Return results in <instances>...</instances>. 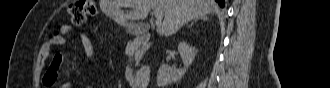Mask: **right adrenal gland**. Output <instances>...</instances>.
<instances>
[{"label": "right adrenal gland", "instance_id": "2a0ac1e0", "mask_svg": "<svg viewBox=\"0 0 330 88\" xmlns=\"http://www.w3.org/2000/svg\"><path fill=\"white\" fill-rule=\"evenodd\" d=\"M198 20H203V21H207L208 20V17L206 16H203V17H199V18H196L194 19L191 24L188 26V27H191L193 25L194 22L198 21Z\"/></svg>", "mask_w": 330, "mask_h": 88}]
</instances>
